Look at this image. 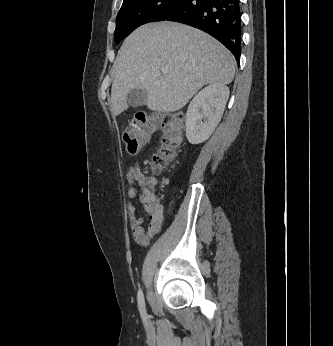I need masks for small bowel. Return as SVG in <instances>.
Wrapping results in <instances>:
<instances>
[{
	"mask_svg": "<svg viewBox=\"0 0 333 346\" xmlns=\"http://www.w3.org/2000/svg\"><path fill=\"white\" fill-rule=\"evenodd\" d=\"M126 178L129 183L128 196L131 199H139L144 206L145 211L149 214V224L147 228L144 227V220L137 213V208L133 203H128L127 210L129 215V223L133 239L140 245H148L149 242L160 232L164 213L163 206L152 193L148 197L144 194L143 187L146 179L138 164L131 166L127 173ZM137 185L142 188L139 194Z\"/></svg>",
	"mask_w": 333,
	"mask_h": 346,
	"instance_id": "c3829d8e",
	"label": "small bowel"
}]
</instances>
